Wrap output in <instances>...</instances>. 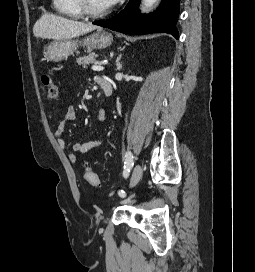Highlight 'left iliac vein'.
Instances as JSON below:
<instances>
[{
    "mask_svg": "<svg viewBox=\"0 0 255 272\" xmlns=\"http://www.w3.org/2000/svg\"><path fill=\"white\" fill-rule=\"evenodd\" d=\"M142 175V168L140 165H136L133 169L132 176L130 179V187H134L140 180Z\"/></svg>",
    "mask_w": 255,
    "mask_h": 272,
    "instance_id": "1",
    "label": "left iliac vein"
}]
</instances>
